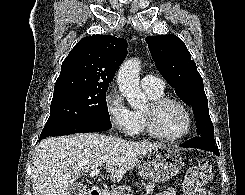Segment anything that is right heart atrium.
I'll use <instances>...</instances> for the list:
<instances>
[{"label": "right heart atrium", "instance_id": "d8ad5b80", "mask_svg": "<svg viewBox=\"0 0 245 195\" xmlns=\"http://www.w3.org/2000/svg\"><path fill=\"white\" fill-rule=\"evenodd\" d=\"M105 109L111 126L119 133L131 135L135 129L134 112L128 108L115 88L105 95Z\"/></svg>", "mask_w": 245, "mask_h": 195}]
</instances>
